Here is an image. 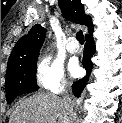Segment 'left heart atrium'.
Returning a JSON list of instances; mask_svg holds the SVG:
<instances>
[{
	"label": "left heart atrium",
	"instance_id": "39dd6f15",
	"mask_svg": "<svg viewBox=\"0 0 122 123\" xmlns=\"http://www.w3.org/2000/svg\"><path fill=\"white\" fill-rule=\"evenodd\" d=\"M69 70L73 76H79L81 73V68L78 65V62L76 60H72L69 63Z\"/></svg>",
	"mask_w": 122,
	"mask_h": 123
}]
</instances>
